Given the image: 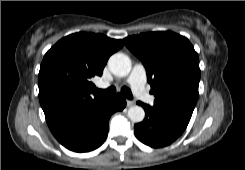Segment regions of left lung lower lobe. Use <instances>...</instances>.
Returning a JSON list of instances; mask_svg holds the SVG:
<instances>
[{"label":"left lung lower lobe","instance_id":"0a47b994","mask_svg":"<svg viewBox=\"0 0 245 170\" xmlns=\"http://www.w3.org/2000/svg\"><path fill=\"white\" fill-rule=\"evenodd\" d=\"M145 110V119L134 126L138 140L150 147H164L174 142L186 129L191 112L154 103L137 102Z\"/></svg>","mask_w":245,"mask_h":170}]
</instances>
